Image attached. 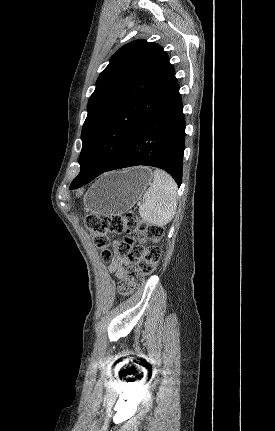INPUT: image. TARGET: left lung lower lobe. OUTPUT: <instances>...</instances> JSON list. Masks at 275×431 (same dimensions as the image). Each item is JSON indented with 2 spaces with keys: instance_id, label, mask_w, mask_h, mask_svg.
<instances>
[{
  "instance_id": "left-lung-lower-lobe-1",
  "label": "left lung lower lobe",
  "mask_w": 275,
  "mask_h": 431,
  "mask_svg": "<svg viewBox=\"0 0 275 431\" xmlns=\"http://www.w3.org/2000/svg\"><path fill=\"white\" fill-rule=\"evenodd\" d=\"M176 84L149 120L133 137L118 158L107 168L92 175L79 173L70 185L77 189L100 174L120 168L147 165L167 171L177 182L182 181V159L185 147V118Z\"/></svg>"
}]
</instances>
